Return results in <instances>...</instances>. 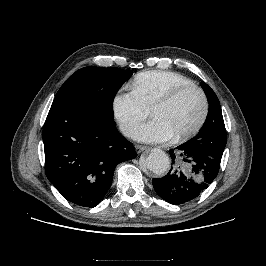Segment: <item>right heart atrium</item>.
<instances>
[{
    "label": "right heart atrium",
    "mask_w": 266,
    "mask_h": 266,
    "mask_svg": "<svg viewBox=\"0 0 266 266\" xmlns=\"http://www.w3.org/2000/svg\"><path fill=\"white\" fill-rule=\"evenodd\" d=\"M112 109L120 129L126 136H131L135 128L150 114V108L131 89L116 93Z\"/></svg>",
    "instance_id": "d8ad5b80"
}]
</instances>
